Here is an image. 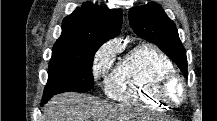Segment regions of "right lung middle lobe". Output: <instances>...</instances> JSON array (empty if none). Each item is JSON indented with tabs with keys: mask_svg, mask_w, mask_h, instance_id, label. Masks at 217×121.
<instances>
[{
	"mask_svg": "<svg viewBox=\"0 0 217 121\" xmlns=\"http://www.w3.org/2000/svg\"><path fill=\"white\" fill-rule=\"evenodd\" d=\"M100 46L98 42L55 44L42 100L67 91L88 92L93 87V57Z\"/></svg>",
	"mask_w": 217,
	"mask_h": 121,
	"instance_id": "obj_1",
	"label": "right lung middle lobe"
}]
</instances>
